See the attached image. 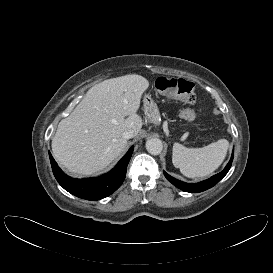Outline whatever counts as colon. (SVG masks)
Masks as SVG:
<instances>
[{
  "mask_svg": "<svg viewBox=\"0 0 273 273\" xmlns=\"http://www.w3.org/2000/svg\"><path fill=\"white\" fill-rule=\"evenodd\" d=\"M156 87L163 94L177 98L185 104L191 105L196 101L194 84L188 80L160 77L157 79ZM180 117L193 121L196 114L192 109L184 108L180 111Z\"/></svg>",
  "mask_w": 273,
  "mask_h": 273,
  "instance_id": "5ec220e1",
  "label": "colon"
}]
</instances>
